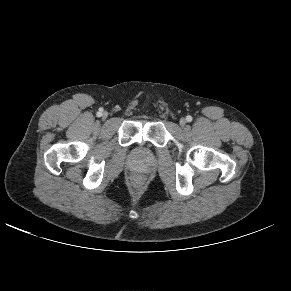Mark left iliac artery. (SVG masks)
<instances>
[{
  "instance_id": "44dca946",
  "label": "left iliac artery",
  "mask_w": 291,
  "mask_h": 291,
  "mask_svg": "<svg viewBox=\"0 0 291 291\" xmlns=\"http://www.w3.org/2000/svg\"><path fill=\"white\" fill-rule=\"evenodd\" d=\"M186 120H187V122H191V121H192V116L188 115V116L186 117Z\"/></svg>"
}]
</instances>
